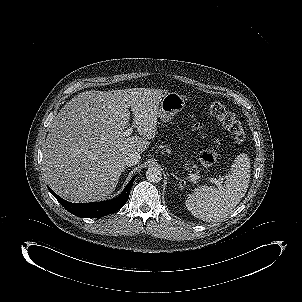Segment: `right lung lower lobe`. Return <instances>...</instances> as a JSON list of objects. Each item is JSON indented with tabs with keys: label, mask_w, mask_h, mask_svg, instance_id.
Masks as SVG:
<instances>
[{
	"label": "right lung lower lobe",
	"mask_w": 302,
	"mask_h": 302,
	"mask_svg": "<svg viewBox=\"0 0 302 302\" xmlns=\"http://www.w3.org/2000/svg\"><path fill=\"white\" fill-rule=\"evenodd\" d=\"M136 176L127 184L123 192L115 199L94 203H71L54 193L49 187V191L55 196L58 202L70 213L83 218H97L109 215L121 209L128 201L130 189Z\"/></svg>",
	"instance_id": "obj_1"
}]
</instances>
